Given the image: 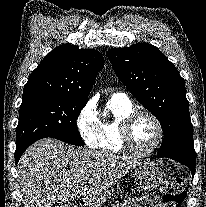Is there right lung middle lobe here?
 Instances as JSON below:
<instances>
[{
	"label": "right lung middle lobe",
	"instance_id": "obj_1",
	"mask_svg": "<svg viewBox=\"0 0 206 207\" xmlns=\"http://www.w3.org/2000/svg\"><path fill=\"white\" fill-rule=\"evenodd\" d=\"M85 102L42 96L22 101L17 126L16 150L26 149L35 141L52 137L83 146L76 120Z\"/></svg>",
	"mask_w": 206,
	"mask_h": 207
}]
</instances>
